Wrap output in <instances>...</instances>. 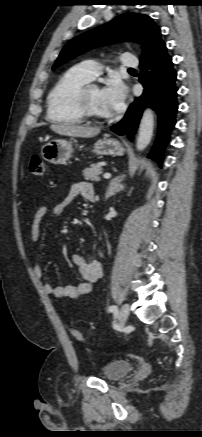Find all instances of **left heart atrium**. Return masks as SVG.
I'll return each instance as SVG.
<instances>
[{"mask_svg":"<svg viewBox=\"0 0 202 437\" xmlns=\"http://www.w3.org/2000/svg\"><path fill=\"white\" fill-rule=\"evenodd\" d=\"M104 104L110 114L119 112L127 97V88L118 78L108 80L102 89Z\"/></svg>","mask_w":202,"mask_h":437,"instance_id":"39dd6f15","label":"left heart atrium"}]
</instances>
